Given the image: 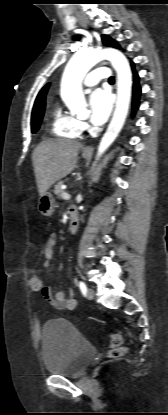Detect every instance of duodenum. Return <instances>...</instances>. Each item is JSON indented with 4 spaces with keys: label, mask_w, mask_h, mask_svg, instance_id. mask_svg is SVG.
<instances>
[{
    "label": "duodenum",
    "mask_w": 168,
    "mask_h": 415,
    "mask_svg": "<svg viewBox=\"0 0 168 415\" xmlns=\"http://www.w3.org/2000/svg\"><path fill=\"white\" fill-rule=\"evenodd\" d=\"M78 225H79V219H78L77 211L74 207H71L69 209L68 233L74 234L78 229Z\"/></svg>",
    "instance_id": "duodenum-1"
}]
</instances>
